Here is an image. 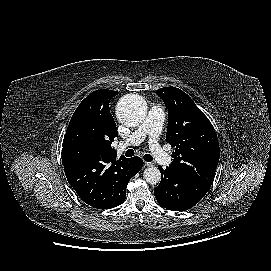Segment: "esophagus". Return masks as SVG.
I'll return each mask as SVG.
<instances>
[{
  "instance_id": "34e87169",
  "label": "esophagus",
  "mask_w": 271,
  "mask_h": 271,
  "mask_svg": "<svg viewBox=\"0 0 271 271\" xmlns=\"http://www.w3.org/2000/svg\"><path fill=\"white\" fill-rule=\"evenodd\" d=\"M144 165H145V166H147V167L153 166V164H152V163L147 162V161H145V162H144Z\"/></svg>"
}]
</instances>
